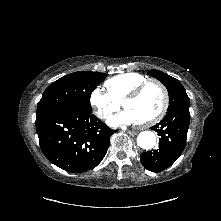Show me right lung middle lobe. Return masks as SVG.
<instances>
[{"label":"right lung middle lobe","instance_id":"right-lung-middle-lobe-1","mask_svg":"<svg viewBox=\"0 0 221 221\" xmlns=\"http://www.w3.org/2000/svg\"><path fill=\"white\" fill-rule=\"evenodd\" d=\"M106 74L79 71L51 83L38 103L36 118L61 108H78L92 112L90 96Z\"/></svg>","mask_w":221,"mask_h":221}]
</instances>
